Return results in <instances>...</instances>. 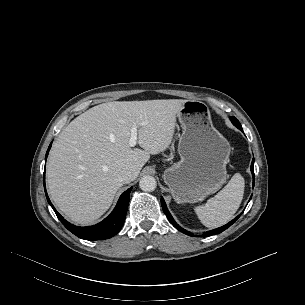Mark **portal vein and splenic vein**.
<instances>
[{
  "label": "portal vein and splenic vein",
  "mask_w": 305,
  "mask_h": 305,
  "mask_svg": "<svg viewBox=\"0 0 305 305\" xmlns=\"http://www.w3.org/2000/svg\"><path fill=\"white\" fill-rule=\"evenodd\" d=\"M137 139H138V136H137V125H134L131 128V136H130V140H129L130 147H134L136 145Z\"/></svg>",
  "instance_id": "portal-vein-and-splenic-vein-1"
}]
</instances>
